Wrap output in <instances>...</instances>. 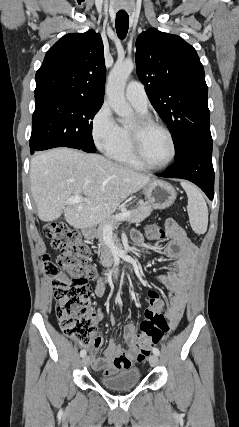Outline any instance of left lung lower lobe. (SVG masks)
I'll return each mask as SVG.
<instances>
[{"label":"left lung lower lobe","mask_w":239,"mask_h":427,"mask_svg":"<svg viewBox=\"0 0 239 427\" xmlns=\"http://www.w3.org/2000/svg\"><path fill=\"white\" fill-rule=\"evenodd\" d=\"M157 176L186 179L200 187L210 200L214 197L212 139H196L188 143L175 162Z\"/></svg>","instance_id":"obj_1"}]
</instances>
